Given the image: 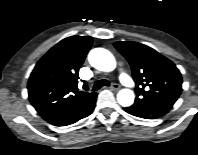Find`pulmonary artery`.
Masks as SVG:
<instances>
[{
	"label": "pulmonary artery",
	"instance_id": "obj_1",
	"mask_svg": "<svg viewBox=\"0 0 198 155\" xmlns=\"http://www.w3.org/2000/svg\"><path fill=\"white\" fill-rule=\"evenodd\" d=\"M118 76L121 79L122 83L127 87H133V82L130 80L128 74L123 69H118Z\"/></svg>",
	"mask_w": 198,
	"mask_h": 155
}]
</instances>
